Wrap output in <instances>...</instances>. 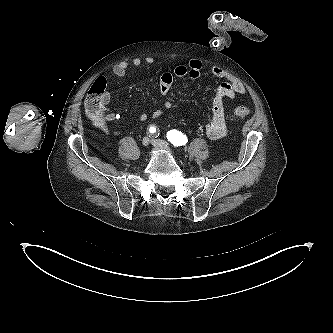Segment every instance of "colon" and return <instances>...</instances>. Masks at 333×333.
Wrapping results in <instances>:
<instances>
[{"instance_id":"5ec220e1","label":"colon","mask_w":333,"mask_h":333,"mask_svg":"<svg viewBox=\"0 0 333 333\" xmlns=\"http://www.w3.org/2000/svg\"><path fill=\"white\" fill-rule=\"evenodd\" d=\"M106 81L98 78L90 87L85 99V112L92 121L99 120L105 112ZM250 114V109L246 106H238L234 109L232 117L234 119H244Z\"/></svg>"}]
</instances>
